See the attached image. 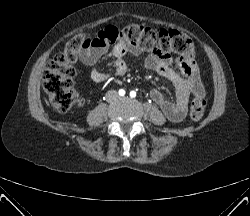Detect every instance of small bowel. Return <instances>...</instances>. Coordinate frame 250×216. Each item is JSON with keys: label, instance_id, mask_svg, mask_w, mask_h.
Instances as JSON below:
<instances>
[{"label": "small bowel", "instance_id": "c3829d8e", "mask_svg": "<svg viewBox=\"0 0 250 216\" xmlns=\"http://www.w3.org/2000/svg\"><path fill=\"white\" fill-rule=\"evenodd\" d=\"M105 52L106 47L89 46L80 51V58L83 64L92 67ZM141 53V48L133 47L124 41H118L111 50V55L114 58V75L122 77L127 72L126 55L139 56ZM173 64L175 67H172ZM145 67L169 79L175 87V101L166 99L162 92L157 89L150 93L152 100L172 122H180L184 119L191 95L204 96L205 94L198 68L192 60L183 58L174 60L169 54L154 49L147 56ZM90 78L93 82L101 84L107 82L110 76L93 68L90 72Z\"/></svg>", "mask_w": 250, "mask_h": 216}]
</instances>
